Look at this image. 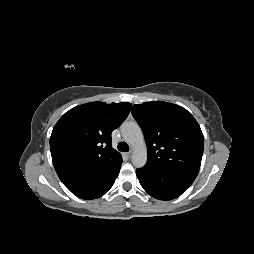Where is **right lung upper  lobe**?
<instances>
[{
	"label": "right lung upper lobe",
	"mask_w": 254,
	"mask_h": 254,
	"mask_svg": "<svg viewBox=\"0 0 254 254\" xmlns=\"http://www.w3.org/2000/svg\"><path fill=\"white\" fill-rule=\"evenodd\" d=\"M130 108V103L91 102L67 111L50 137L57 174L98 168L121 160L120 153L112 148L111 133L126 119Z\"/></svg>",
	"instance_id": "1"
}]
</instances>
